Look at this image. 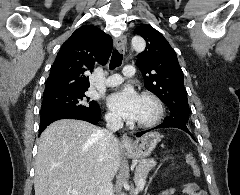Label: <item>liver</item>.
Masks as SVG:
<instances>
[{
  "mask_svg": "<svg viewBox=\"0 0 240 195\" xmlns=\"http://www.w3.org/2000/svg\"><path fill=\"white\" fill-rule=\"evenodd\" d=\"M97 129L81 119H58L44 129L35 161V195H97L100 177L113 179L122 145L117 141L101 151Z\"/></svg>",
  "mask_w": 240,
  "mask_h": 195,
  "instance_id": "6515ba94",
  "label": "liver"
}]
</instances>
